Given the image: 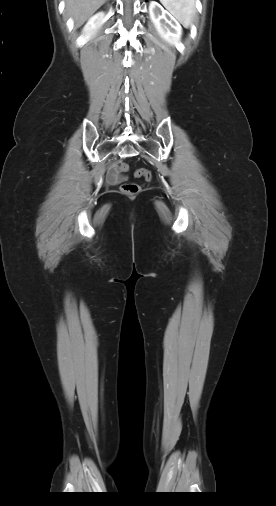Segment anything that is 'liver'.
Instances as JSON below:
<instances>
[{
  "instance_id": "1",
  "label": "liver",
  "mask_w": 276,
  "mask_h": 506,
  "mask_svg": "<svg viewBox=\"0 0 276 506\" xmlns=\"http://www.w3.org/2000/svg\"><path fill=\"white\" fill-rule=\"evenodd\" d=\"M106 0H66V13L80 27Z\"/></svg>"
}]
</instances>
